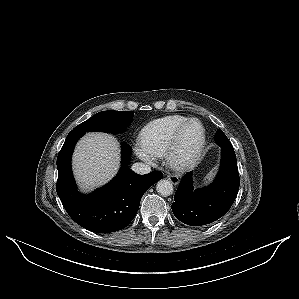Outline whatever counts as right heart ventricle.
<instances>
[{
  "label": "right heart ventricle",
  "instance_id": "obj_1",
  "mask_svg": "<svg viewBox=\"0 0 299 299\" xmlns=\"http://www.w3.org/2000/svg\"><path fill=\"white\" fill-rule=\"evenodd\" d=\"M188 120L182 115H170L150 122L143 130L142 140L155 156L163 157L179 127Z\"/></svg>",
  "mask_w": 299,
  "mask_h": 299
}]
</instances>
